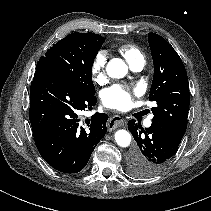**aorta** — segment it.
I'll use <instances>...</instances> for the list:
<instances>
[{
	"label": "aorta",
	"mask_w": 211,
	"mask_h": 211,
	"mask_svg": "<svg viewBox=\"0 0 211 211\" xmlns=\"http://www.w3.org/2000/svg\"><path fill=\"white\" fill-rule=\"evenodd\" d=\"M106 72L109 77L119 79L126 76L128 67L123 60L113 58L108 62ZM115 141L119 146L127 147L131 142V136L128 131L120 129L115 133Z\"/></svg>",
	"instance_id": "aorta-1"
}]
</instances>
